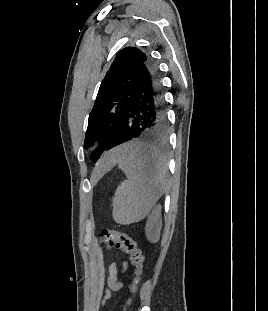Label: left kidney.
<instances>
[{"label": "left kidney", "instance_id": "left-kidney-1", "mask_svg": "<svg viewBox=\"0 0 268 311\" xmlns=\"http://www.w3.org/2000/svg\"><path fill=\"white\" fill-rule=\"evenodd\" d=\"M160 211L161 207L157 206L153 213L150 215L145 231H146V237L149 241L155 243L158 241L160 237V230H161V219H160Z\"/></svg>", "mask_w": 268, "mask_h": 311}]
</instances>
